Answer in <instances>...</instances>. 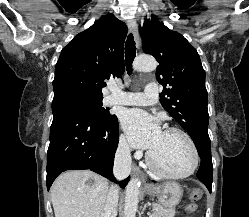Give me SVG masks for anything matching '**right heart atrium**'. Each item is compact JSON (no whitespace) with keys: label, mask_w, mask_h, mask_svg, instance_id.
Returning a JSON list of instances; mask_svg holds the SVG:
<instances>
[{"label":"right heart atrium","mask_w":249,"mask_h":217,"mask_svg":"<svg viewBox=\"0 0 249 217\" xmlns=\"http://www.w3.org/2000/svg\"><path fill=\"white\" fill-rule=\"evenodd\" d=\"M119 149L125 155L128 154V152H129V145H128L127 140L124 136H120Z\"/></svg>","instance_id":"obj_1"}]
</instances>
